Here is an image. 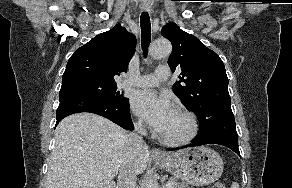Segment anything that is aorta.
<instances>
[{
	"label": "aorta",
	"instance_id": "1",
	"mask_svg": "<svg viewBox=\"0 0 292 188\" xmlns=\"http://www.w3.org/2000/svg\"><path fill=\"white\" fill-rule=\"evenodd\" d=\"M172 51L171 43L167 39H157L150 47V55L155 59H160L170 55ZM146 188H158V183L154 179H149Z\"/></svg>",
	"mask_w": 292,
	"mask_h": 188
}]
</instances>
